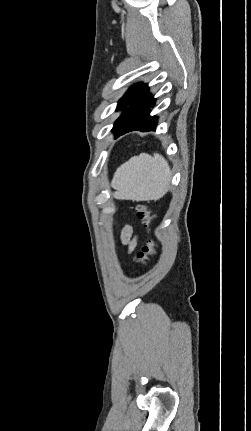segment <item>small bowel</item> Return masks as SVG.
Here are the masks:
<instances>
[{"mask_svg": "<svg viewBox=\"0 0 251 431\" xmlns=\"http://www.w3.org/2000/svg\"><path fill=\"white\" fill-rule=\"evenodd\" d=\"M122 242L128 247V252L131 253L136 244L137 237L134 235L131 227H126L122 233Z\"/></svg>", "mask_w": 251, "mask_h": 431, "instance_id": "small-bowel-1", "label": "small bowel"}]
</instances>
